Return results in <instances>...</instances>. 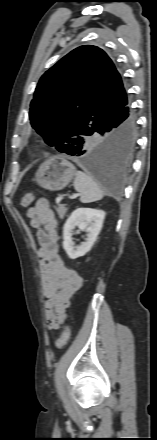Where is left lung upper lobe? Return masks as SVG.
Listing matches in <instances>:
<instances>
[{
  "label": "left lung upper lobe",
  "instance_id": "5c2ea615",
  "mask_svg": "<svg viewBox=\"0 0 157 440\" xmlns=\"http://www.w3.org/2000/svg\"><path fill=\"white\" fill-rule=\"evenodd\" d=\"M127 98L107 54L96 46H80L41 77L29 118L48 145L65 152L94 134L102 119Z\"/></svg>",
  "mask_w": 157,
  "mask_h": 440
}]
</instances>
